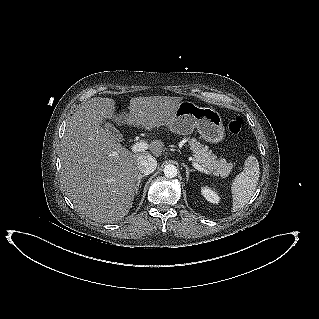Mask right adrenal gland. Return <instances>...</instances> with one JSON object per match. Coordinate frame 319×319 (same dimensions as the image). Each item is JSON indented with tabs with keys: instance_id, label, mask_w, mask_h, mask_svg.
Listing matches in <instances>:
<instances>
[{
	"instance_id": "2a0ac1e0",
	"label": "right adrenal gland",
	"mask_w": 319,
	"mask_h": 319,
	"mask_svg": "<svg viewBox=\"0 0 319 319\" xmlns=\"http://www.w3.org/2000/svg\"><path fill=\"white\" fill-rule=\"evenodd\" d=\"M143 177H146V175H139V177H138V181H137V184H136V187H135V194H137L139 192V188H140V185H141V179Z\"/></svg>"
}]
</instances>
